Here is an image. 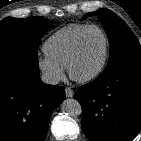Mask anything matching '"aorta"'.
<instances>
[{"label": "aorta", "mask_w": 141, "mask_h": 141, "mask_svg": "<svg viewBox=\"0 0 141 141\" xmlns=\"http://www.w3.org/2000/svg\"><path fill=\"white\" fill-rule=\"evenodd\" d=\"M61 110L67 115L73 117L82 113L80 103L73 98H68L61 103Z\"/></svg>", "instance_id": "obj_1"}]
</instances>
